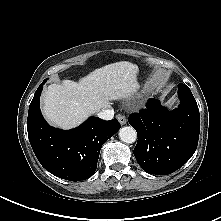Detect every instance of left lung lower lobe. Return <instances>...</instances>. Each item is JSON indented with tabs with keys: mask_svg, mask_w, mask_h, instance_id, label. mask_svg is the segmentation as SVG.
<instances>
[{
	"mask_svg": "<svg viewBox=\"0 0 221 221\" xmlns=\"http://www.w3.org/2000/svg\"><path fill=\"white\" fill-rule=\"evenodd\" d=\"M178 108L167 110L151 98L146 109L129 116L138 134L134 155L150 174L168 175L181 168L194 154L200 131V114L191 90L178 85Z\"/></svg>",
	"mask_w": 221,
	"mask_h": 221,
	"instance_id": "1",
	"label": "left lung lower lobe"
}]
</instances>
